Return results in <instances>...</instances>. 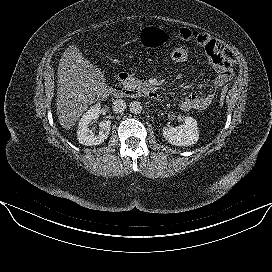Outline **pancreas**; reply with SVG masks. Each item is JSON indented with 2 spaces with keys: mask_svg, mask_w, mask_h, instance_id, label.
<instances>
[{
  "mask_svg": "<svg viewBox=\"0 0 272 272\" xmlns=\"http://www.w3.org/2000/svg\"><path fill=\"white\" fill-rule=\"evenodd\" d=\"M142 83L140 81H135V86L141 85Z\"/></svg>",
  "mask_w": 272,
  "mask_h": 272,
  "instance_id": "pancreas-1",
  "label": "pancreas"
}]
</instances>
